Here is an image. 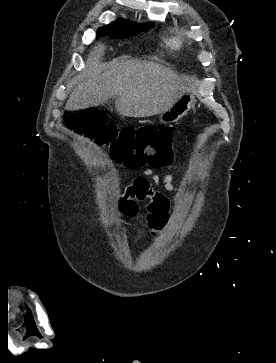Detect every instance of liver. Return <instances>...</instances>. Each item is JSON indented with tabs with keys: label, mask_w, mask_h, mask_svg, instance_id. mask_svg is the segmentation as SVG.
Instances as JSON below:
<instances>
[{
	"label": "liver",
	"mask_w": 276,
	"mask_h": 363,
	"mask_svg": "<svg viewBox=\"0 0 276 363\" xmlns=\"http://www.w3.org/2000/svg\"><path fill=\"white\" fill-rule=\"evenodd\" d=\"M105 50L99 43L90 60ZM188 89L176 72L161 64L120 57L103 71L82 74L66 102L67 110H80L105 103L117 96L115 107L124 117H149L168 109Z\"/></svg>",
	"instance_id": "6515ba94"
}]
</instances>
